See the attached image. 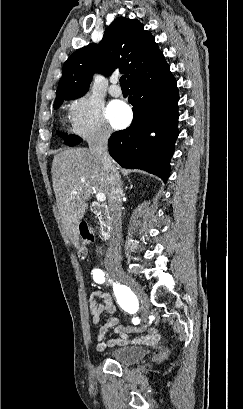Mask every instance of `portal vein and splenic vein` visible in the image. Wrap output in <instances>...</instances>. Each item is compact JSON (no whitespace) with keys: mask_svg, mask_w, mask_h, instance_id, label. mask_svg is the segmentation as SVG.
I'll return each instance as SVG.
<instances>
[{"mask_svg":"<svg viewBox=\"0 0 243 409\" xmlns=\"http://www.w3.org/2000/svg\"><path fill=\"white\" fill-rule=\"evenodd\" d=\"M73 193H76L75 191ZM96 199L98 202H104L106 200V195L102 192L96 194Z\"/></svg>","mask_w":243,"mask_h":409,"instance_id":"obj_1","label":"portal vein and splenic vein"}]
</instances>
